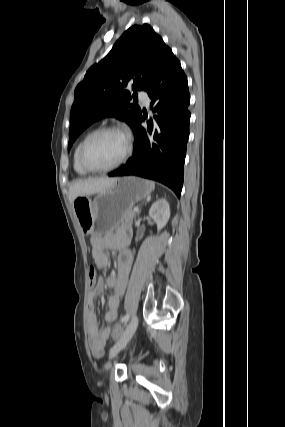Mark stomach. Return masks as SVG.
<instances>
[{
	"instance_id": "1",
	"label": "stomach",
	"mask_w": 285,
	"mask_h": 427,
	"mask_svg": "<svg viewBox=\"0 0 285 427\" xmlns=\"http://www.w3.org/2000/svg\"><path fill=\"white\" fill-rule=\"evenodd\" d=\"M154 184L127 176L117 180L93 199L79 196L73 202L74 213L84 232L102 236L125 224V214L140 200L149 198Z\"/></svg>"
}]
</instances>
